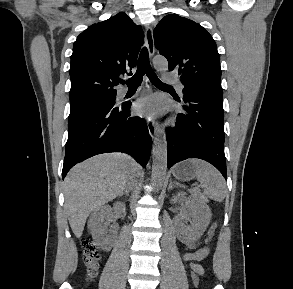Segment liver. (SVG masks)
<instances>
[{
    "label": "liver",
    "mask_w": 293,
    "mask_h": 289,
    "mask_svg": "<svg viewBox=\"0 0 293 289\" xmlns=\"http://www.w3.org/2000/svg\"><path fill=\"white\" fill-rule=\"evenodd\" d=\"M140 167L121 153L94 156L74 166L64 180L65 210L75 236L80 238L89 214L124 191Z\"/></svg>",
    "instance_id": "6515ba94"
}]
</instances>
